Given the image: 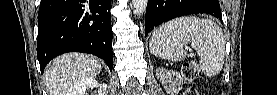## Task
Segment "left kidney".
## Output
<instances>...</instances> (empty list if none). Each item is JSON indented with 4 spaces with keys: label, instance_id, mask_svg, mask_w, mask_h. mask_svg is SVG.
<instances>
[{
    "label": "left kidney",
    "instance_id": "obj_1",
    "mask_svg": "<svg viewBox=\"0 0 277 95\" xmlns=\"http://www.w3.org/2000/svg\"><path fill=\"white\" fill-rule=\"evenodd\" d=\"M156 76L164 84V86L170 90H175L178 84H181V79L177 78V75L173 71H168L164 68H158Z\"/></svg>",
    "mask_w": 277,
    "mask_h": 95
}]
</instances>
